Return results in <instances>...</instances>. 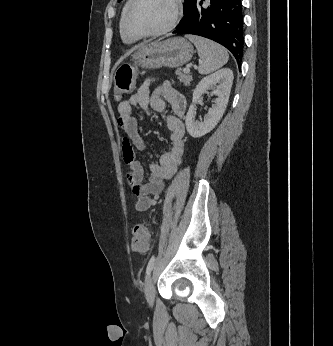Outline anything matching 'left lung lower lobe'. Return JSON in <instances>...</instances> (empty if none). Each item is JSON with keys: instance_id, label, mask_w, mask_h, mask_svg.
<instances>
[{"instance_id": "0a47b994", "label": "left lung lower lobe", "mask_w": 333, "mask_h": 346, "mask_svg": "<svg viewBox=\"0 0 333 346\" xmlns=\"http://www.w3.org/2000/svg\"><path fill=\"white\" fill-rule=\"evenodd\" d=\"M173 33L194 34L226 47L240 64L243 56L241 0H190Z\"/></svg>"}]
</instances>
